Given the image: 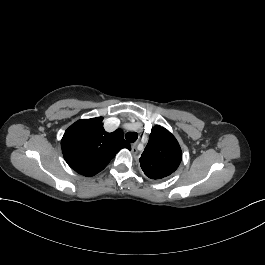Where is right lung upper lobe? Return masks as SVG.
<instances>
[{"mask_svg": "<svg viewBox=\"0 0 265 265\" xmlns=\"http://www.w3.org/2000/svg\"><path fill=\"white\" fill-rule=\"evenodd\" d=\"M102 120V117L78 120L65 131L61 140L66 162L81 175H96L122 148L131 149L124 140L123 131L106 132Z\"/></svg>", "mask_w": 265, "mask_h": 265, "instance_id": "cb5924a9", "label": "right lung upper lobe"}]
</instances>
